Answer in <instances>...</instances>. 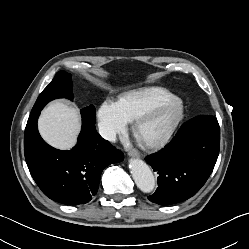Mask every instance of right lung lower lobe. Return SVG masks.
<instances>
[{"instance_id":"right-lung-lower-lobe-1","label":"right lung lower lobe","mask_w":249,"mask_h":249,"mask_svg":"<svg viewBox=\"0 0 249 249\" xmlns=\"http://www.w3.org/2000/svg\"><path fill=\"white\" fill-rule=\"evenodd\" d=\"M41 110L31 111L25 128L24 153L29 171L50 199L68 205L85 204L96 194L103 169L121 162L124 155L96 132L95 123L84 119L72 150L51 147L38 132Z\"/></svg>"}]
</instances>
